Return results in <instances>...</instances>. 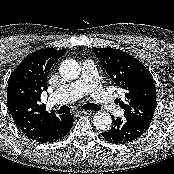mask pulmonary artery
Instances as JSON below:
<instances>
[{
  "instance_id": "pulmonary-artery-1",
  "label": "pulmonary artery",
  "mask_w": 174,
  "mask_h": 174,
  "mask_svg": "<svg viewBox=\"0 0 174 174\" xmlns=\"http://www.w3.org/2000/svg\"><path fill=\"white\" fill-rule=\"evenodd\" d=\"M90 94L93 99L113 114H121L112 96L100 83L98 72L92 60H86L82 66L80 78L56 90L50 97L51 103L67 104Z\"/></svg>"
}]
</instances>
